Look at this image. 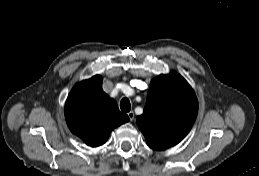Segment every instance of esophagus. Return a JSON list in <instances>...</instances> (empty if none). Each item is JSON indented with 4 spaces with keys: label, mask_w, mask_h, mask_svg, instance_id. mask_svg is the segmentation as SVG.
<instances>
[{
    "label": "esophagus",
    "mask_w": 259,
    "mask_h": 176,
    "mask_svg": "<svg viewBox=\"0 0 259 176\" xmlns=\"http://www.w3.org/2000/svg\"><path fill=\"white\" fill-rule=\"evenodd\" d=\"M128 116H129V119H130L131 121H133L134 118H135V114H134L133 111L128 112Z\"/></svg>",
    "instance_id": "obj_1"
}]
</instances>
